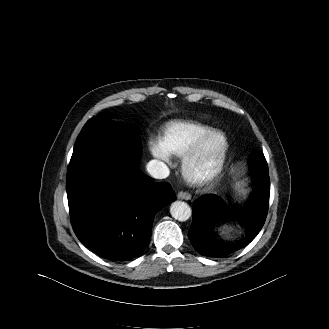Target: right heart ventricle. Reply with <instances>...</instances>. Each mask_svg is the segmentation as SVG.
<instances>
[{
    "mask_svg": "<svg viewBox=\"0 0 329 329\" xmlns=\"http://www.w3.org/2000/svg\"><path fill=\"white\" fill-rule=\"evenodd\" d=\"M211 130L210 126L198 122L171 121L163 128L160 144L169 155L181 157L200 137Z\"/></svg>",
    "mask_w": 329,
    "mask_h": 329,
    "instance_id": "e07e8e85",
    "label": "right heart ventricle"
}]
</instances>
